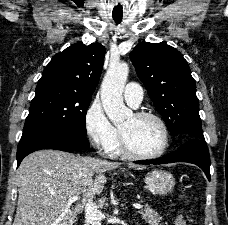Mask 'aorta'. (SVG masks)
Listing matches in <instances>:
<instances>
[{
  "label": "aorta",
  "mask_w": 228,
  "mask_h": 225,
  "mask_svg": "<svg viewBox=\"0 0 228 225\" xmlns=\"http://www.w3.org/2000/svg\"><path fill=\"white\" fill-rule=\"evenodd\" d=\"M129 74L127 62H110L102 80L101 100L107 117L113 125H122L127 117H132L133 110L123 102V90Z\"/></svg>",
  "instance_id": "aorta-1"
}]
</instances>
